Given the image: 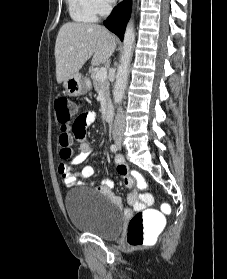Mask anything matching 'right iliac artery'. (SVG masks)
<instances>
[{
    "instance_id": "82829eb1",
    "label": "right iliac artery",
    "mask_w": 227,
    "mask_h": 279,
    "mask_svg": "<svg viewBox=\"0 0 227 279\" xmlns=\"http://www.w3.org/2000/svg\"><path fill=\"white\" fill-rule=\"evenodd\" d=\"M110 149L112 152H116L118 150V147L116 146V144H112Z\"/></svg>"
}]
</instances>
